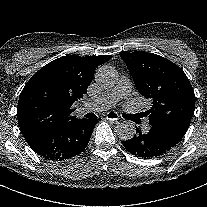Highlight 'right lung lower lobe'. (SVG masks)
I'll return each mask as SVG.
<instances>
[{"label":"right lung lower lobe","mask_w":207,"mask_h":207,"mask_svg":"<svg viewBox=\"0 0 207 207\" xmlns=\"http://www.w3.org/2000/svg\"><path fill=\"white\" fill-rule=\"evenodd\" d=\"M100 119L73 117L52 134L29 144L35 153L49 161L71 159L86 148L95 125Z\"/></svg>","instance_id":"right-lung-lower-lobe-1"}]
</instances>
